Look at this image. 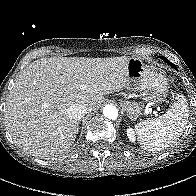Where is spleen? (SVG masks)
<instances>
[{
	"label": "spleen",
	"mask_w": 196,
	"mask_h": 196,
	"mask_svg": "<svg viewBox=\"0 0 196 196\" xmlns=\"http://www.w3.org/2000/svg\"><path fill=\"white\" fill-rule=\"evenodd\" d=\"M189 117V107L183 95L177 96L165 114L154 119L139 122L135 128L141 146L150 151L167 148L179 139Z\"/></svg>",
	"instance_id": "spleen-1"
}]
</instances>
